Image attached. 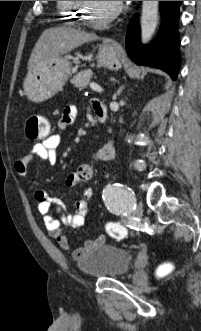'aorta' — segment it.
I'll return each mask as SVG.
<instances>
[{"label":"aorta","instance_id":"1","mask_svg":"<svg viewBox=\"0 0 201 331\" xmlns=\"http://www.w3.org/2000/svg\"><path fill=\"white\" fill-rule=\"evenodd\" d=\"M159 1H143L141 16V41L148 43L158 24Z\"/></svg>","mask_w":201,"mask_h":331}]
</instances>
